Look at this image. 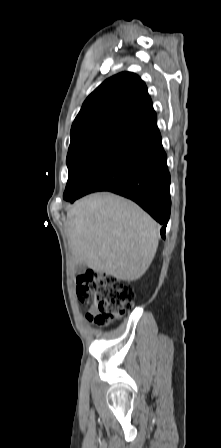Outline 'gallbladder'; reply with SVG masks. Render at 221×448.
Here are the masks:
<instances>
[{"label":"gallbladder","mask_w":221,"mask_h":448,"mask_svg":"<svg viewBox=\"0 0 221 448\" xmlns=\"http://www.w3.org/2000/svg\"><path fill=\"white\" fill-rule=\"evenodd\" d=\"M84 269H85V264L84 263H77L76 264V271L82 272Z\"/></svg>","instance_id":"gallbladder-1"}]
</instances>
